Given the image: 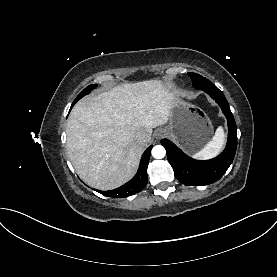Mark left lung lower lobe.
<instances>
[{
	"mask_svg": "<svg viewBox=\"0 0 277 277\" xmlns=\"http://www.w3.org/2000/svg\"><path fill=\"white\" fill-rule=\"evenodd\" d=\"M202 90L218 103L227 118L228 141L225 150L214 159L198 161L186 156L168 139L161 140L176 178L188 186H202L218 181L231 165L237 148V128L225 96L215 85Z\"/></svg>",
	"mask_w": 277,
	"mask_h": 277,
	"instance_id": "left-lung-lower-lobe-1",
	"label": "left lung lower lobe"
}]
</instances>
